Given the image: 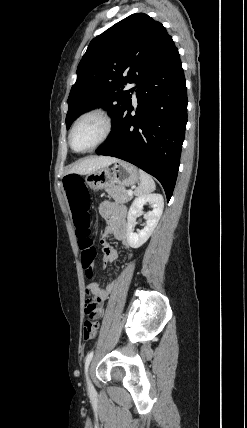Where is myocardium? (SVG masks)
<instances>
[{
    "mask_svg": "<svg viewBox=\"0 0 247 428\" xmlns=\"http://www.w3.org/2000/svg\"><path fill=\"white\" fill-rule=\"evenodd\" d=\"M92 116L99 117L103 121L104 126H105L104 133H103L102 137L93 146L86 148V149H77L73 145V142H72V137H73V133L75 131V128L80 121H82L83 119H85L87 117H92ZM112 131H113V119H112L111 115L106 110H104L102 108H93V109H90V110H87V111L81 113L72 123V126H71L70 131H69V135H68L69 145L76 152H80V153L91 152V151L97 149L103 143H105L109 139Z\"/></svg>",
    "mask_w": 247,
    "mask_h": 428,
    "instance_id": "1",
    "label": "myocardium"
}]
</instances>
